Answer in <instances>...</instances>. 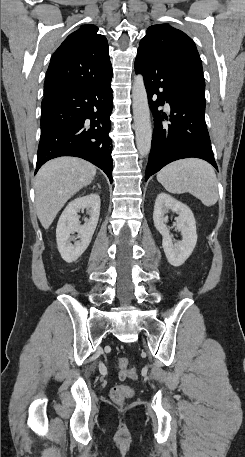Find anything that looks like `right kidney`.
I'll list each match as a JSON object with an SVG mask.
<instances>
[{
    "mask_svg": "<svg viewBox=\"0 0 245 457\" xmlns=\"http://www.w3.org/2000/svg\"><path fill=\"white\" fill-rule=\"evenodd\" d=\"M100 206L99 194L91 192L86 196L74 198L63 210L57 224L56 239L58 251L67 253L69 263L77 261L82 253L86 251L89 243H91L100 214ZM78 212L89 214V218H84V224H80V214ZM74 233H78L77 237H75ZM76 239H80V241H76ZM71 241H74V245H72Z\"/></svg>",
    "mask_w": 245,
    "mask_h": 457,
    "instance_id": "1",
    "label": "right kidney"
}]
</instances>
